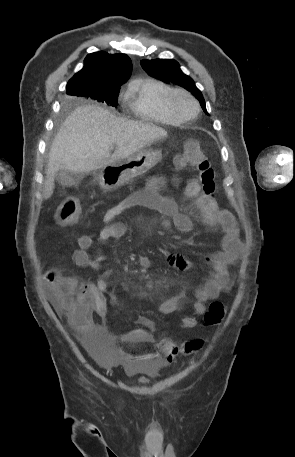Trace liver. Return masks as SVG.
I'll list each match as a JSON object with an SVG mask.
<instances>
[{
	"mask_svg": "<svg viewBox=\"0 0 295 457\" xmlns=\"http://www.w3.org/2000/svg\"><path fill=\"white\" fill-rule=\"evenodd\" d=\"M167 136V131L150 123L122 119L95 105L77 107L61 125L49 154L43 197L53 194L59 170L86 173L101 169ZM115 144L114 153L110 146Z\"/></svg>",
	"mask_w": 295,
	"mask_h": 457,
	"instance_id": "1",
	"label": "liver"
}]
</instances>
